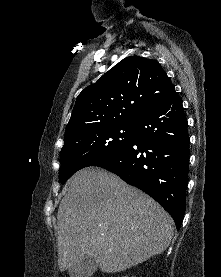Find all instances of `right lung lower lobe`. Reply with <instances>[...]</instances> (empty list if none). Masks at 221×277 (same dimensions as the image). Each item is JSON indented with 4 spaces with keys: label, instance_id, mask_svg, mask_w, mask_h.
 I'll list each match as a JSON object with an SVG mask.
<instances>
[{
    "label": "right lung lower lobe",
    "instance_id": "right-lung-lower-lobe-1",
    "mask_svg": "<svg viewBox=\"0 0 221 277\" xmlns=\"http://www.w3.org/2000/svg\"><path fill=\"white\" fill-rule=\"evenodd\" d=\"M133 127L128 147L94 166L150 195L169 212L179 230L185 213L189 135L176 91L137 118Z\"/></svg>",
    "mask_w": 221,
    "mask_h": 277
}]
</instances>
